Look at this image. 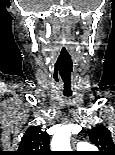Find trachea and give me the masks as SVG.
<instances>
[{"instance_id":"3493384b","label":"trachea","mask_w":115,"mask_h":155,"mask_svg":"<svg viewBox=\"0 0 115 155\" xmlns=\"http://www.w3.org/2000/svg\"><path fill=\"white\" fill-rule=\"evenodd\" d=\"M63 93L62 96L70 97L73 96V90H71V87H62Z\"/></svg>"}]
</instances>
